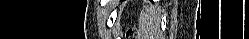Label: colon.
Masks as SVG:
<instances>
[{
	"mask_svg": "<svg viewBox=\"0 0 249 39\" xmlns=\"http://www.w3.org/2000/svg\"><path fill=\"white\" fill-rule=\"evenodd\" d=\"M135 34H136V31H135L134 28H132V29H130V30L128 31V36H129L130 38H133V37L135 36Z\"/></svg>",
	"mask_w": 249,
	"mask_h": 39,
	"instance_id": "1",
	"label": "colon"
}]
</instances>
